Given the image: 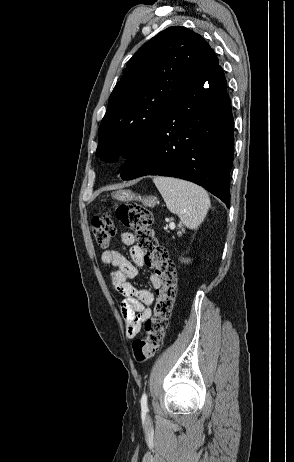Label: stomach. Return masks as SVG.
Wrapping results in <instances>:
<instances>
[{"label": "stomach", "mask_w": 294, "mask_h": 462, "mask_svg": "<svg viewBox=\"0 0 294 462\" xmlns=\"http://www.w3.org/2000/svg\"><path fill=\"white\" fill-rule=\"evenodd\" d=\"M115 199L120 201H131V200H139L145 206L153 207L157 203V198L154 196L149 197H141L140 195H135L130 190H119L112 195Z\"/></svg>", "instance_id": "1"}]
</instances>
